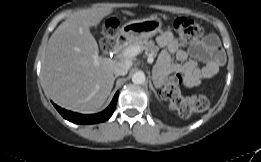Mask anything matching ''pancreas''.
Segmentation results:
<instances>
[{"instance_id":"1","label":"pancreas","mask_w":261,"mask_h":162,"mask_svg":"<svg viewBox=\"0 0 261 162\" xmlns=\"http://www.w3.org/2000/svg\"><path fill=\"white\" fill-rule=\"evenodd\" d=\"M139 46L142 50H145L146 52L153 53V57L156 56L159 48L155 45V43L152 40L147 39H139V40H132L128 42V45L126 46Z\"/></svg>"}]
</instances>
